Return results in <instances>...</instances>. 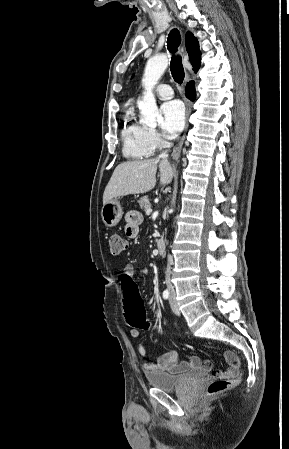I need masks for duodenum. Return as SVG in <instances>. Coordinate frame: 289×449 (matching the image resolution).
I'll return each mask as SVG.
<instances>
[{"mask_svg":"<svg viewBox=\"0 0 289 449\" xmlns=\"http://www.w3.org/2000/svg\"><path fill=\"white\" fill-rule=\"evenodd\" d=\"M156 247H157V250H158L159 254L163 255L164 252H165V248H166L165 241L163 239H161V238L157 239L156 240Z\"/></svg>","mask_w":289,"mask_h":449,"instance_id":"duodenum-1","label":"duodenum"}]
</instances>
